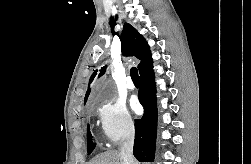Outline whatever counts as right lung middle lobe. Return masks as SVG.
I'll use <instances>...</instances> for the list:
<instances>
[{
	"mask_svg": "<svg viewBox=\"0 0 251 164\" xmlns=\"http://www.w3.org/2000/svg\"><path fill=\"white\" fill-rule=\"evenodd\" d=\"M94 143L92 142V139H91V133H90V130H89V127H88V151L91 152L93 151L94 149Z\"/></svg>",
	"mask_w": 251,
	"mask_h": 164,
	"instance_id": "dd1d6c3e",
	"label": "right lung middle lobe"
}]
</instances>
